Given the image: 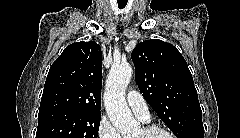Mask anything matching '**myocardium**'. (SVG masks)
Here are the masks:
<instances>
[{
    "label": "myocardium",
    "instance_id": "1",
    "mask_svg": "<svg viewBox=\"0 0 240 138\" xmlns=\"http://www.w3.org/2000/svg\"><path fill=\"white\" fill-rule=\"evenodd\" d=\"M142 131L146 136L153 135L154 133H162L167 138H172V133L170 131L156 124H146L143 126Z\"/></svg>",
    "mask_w": 240,
    "mask_h": 138
}]
</instances>
